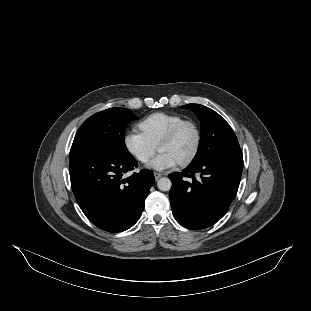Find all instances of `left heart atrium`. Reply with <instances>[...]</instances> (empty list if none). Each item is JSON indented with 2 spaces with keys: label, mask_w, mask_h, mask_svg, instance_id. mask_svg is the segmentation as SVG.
I'll return each instance as SVG.
<instances>
[{
  "label": "left heart atrium",
  "mask_w": 311,
  "mask_h": 311,
  "mask_svg": "<svg viewBox=\"0 0 311 311\" xmlns=\"http://www.w3.org/2000/svg\"><path fill=\"white\" fill-rule=\"evenodd\" d=\"M179 165L178 161L167 153H159L148 165L155 171H165Z\"/></svg>",
  "instance_id": "left-heart-atrium-1"
}]
</instances>
